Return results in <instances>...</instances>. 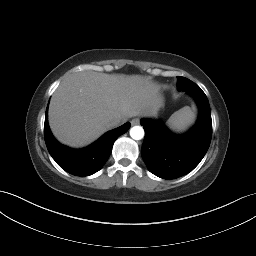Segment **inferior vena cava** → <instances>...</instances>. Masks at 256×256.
<instances>
[{
	"label": "inferior vena cava",
	"mask_w": 256,
	"mask_h": 256,
	"mask_svg": "<svg viewBox=\"0 0 256 256\" xmlns=\"http://www.w3.org/2000/svg\"><path fill=\"white\" fill-rule=\"evenodd\" d=\"M121 123H123V121L121 119H115L110 123L111 127H117L119 126Z\"/></svg>",
	"instance_id": "602c4592"
}]
</instances>
